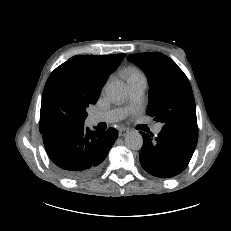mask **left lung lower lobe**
Wrapping results in <instances>:
<instances>
[{"label":"left lung lower lobe","mask_w":231,"mask_h":231,"mask_svg":"<svg viewBox=\"0 0 231 231\" xmlns=\"http://www.w3.org/2000/svg\"><path fill=\"white\" fill-rule=\"evenodd\" d=\"M140 133L143 136L140 163L147 173L159 178H170L184 171L198 140V133L169 128H162L157 137Z\"/></svg>","instance_id":"left-lung-lower-lobe-1"}]
</instances>
